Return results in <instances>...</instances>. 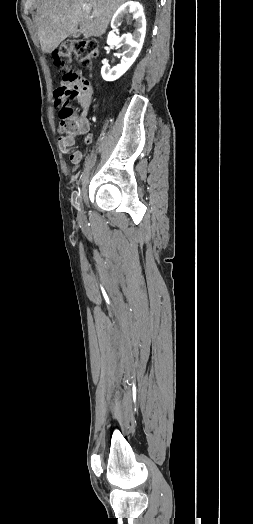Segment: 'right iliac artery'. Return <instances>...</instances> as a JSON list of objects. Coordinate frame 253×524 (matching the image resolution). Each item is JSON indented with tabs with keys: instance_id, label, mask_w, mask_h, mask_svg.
I'll list each match as a JSON object with an SVG mask.
<instances>
[{
	"instance_id": "1",
	"label": "right iliac artery",
	"mask_w": 253,
	"mask_h": 524,
	"mask_svg": "<svg viewBox=\"0 0 253 524\" xmlns=\"http://www.w3.org/2000/svg\"><path fill=\"white\" fill-rule=\"evenodd\" d=\"M80 195H81V190L80 188H78L73 198V205L77 210H80Z\"/></svg>"
}]
</instances>
